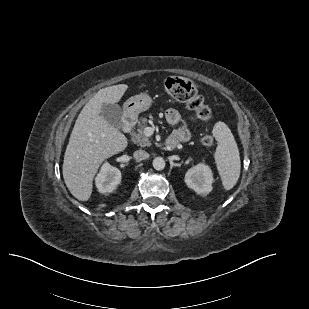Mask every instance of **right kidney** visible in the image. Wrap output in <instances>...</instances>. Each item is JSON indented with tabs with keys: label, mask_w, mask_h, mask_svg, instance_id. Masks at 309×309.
I'll use <instances>...</instances> for the list:
<instances>
[{
	"label": "right kidney",
	"mask_w": 309,
	"mask_h": 309,
	"mask_svg": "<svg viewBox=\"0 0 309 309\" xmlns=\"http://www.w3.org/2000/svg\"><path fill=\"white\" fill-rule=\"evenodd\" d=\"M121 182V172L118 168L104 163L95 178V184L100 193H110Z\"/></svg>",
	"instance_id": "right-kidney-1"
}]
</instances>
